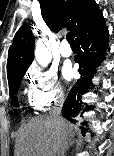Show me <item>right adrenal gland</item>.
Returning <instances> with one entry per match:
<instances>
[{
    "mask_svg": "<svg viewBox=\"0 0 114 156\" xmlns=\"http://www.w3.org/2000/svg\"><path fill=\"white\" fill-rule=\"evenodd\" d=\"M72 138H69L68 141L65 142L66 150L69 149V147L72 146L75 143L74 139H72Z\"/></svg>",
    "mask_w": 114,
    "mask_h": 156,
    "instance_id": "1",
    "label": "right adrenal gland"
}]
</instances>
